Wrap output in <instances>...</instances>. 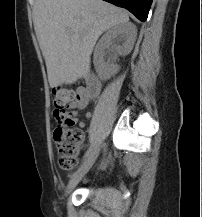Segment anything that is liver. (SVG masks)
Listing matches in <instances>:
<instances>
[{"label":"liver","mask_w":202,"mask_h":217,"mask_svg":"<svg viewBox=\"0 0 202 217\" xmlns=\"http://www.w3.org/2000/svg\"><path fill=\"white\" fill-rule=\"evenodd\" d=\"M33 15L51 87L85 77L100 35L129 20L126 11L103 0H36Z\"/></svg>","instance_id":"6515ba94"}]
</instances>
